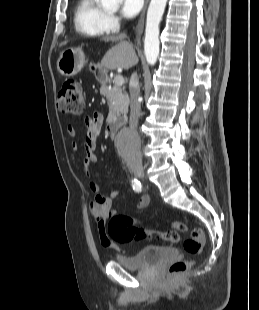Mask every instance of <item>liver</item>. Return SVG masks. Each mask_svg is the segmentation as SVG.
<instances>
[{"label":"liver","instance_id":"1","mask_svg":"<svg viewBox=\"0 0 259 310\" xmlns=\"http://www.w3.org/2000/svg\"><path fill=\"white\" fill-rule=\"evenodd\" d=\"M105 42H118L104 55L101 66L107 69H129L138 62V57L132 45L119 36H108L102 39Z\"/></svg>","mask_w":259,"mask_h":310}]
</instances>
